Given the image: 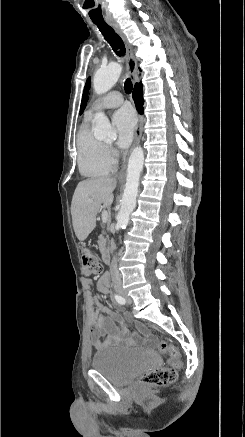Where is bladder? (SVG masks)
Wrapping results in <instances>:
<instances>
[{"mask_svg": "<svg viewBox=\"0 0 245 437\" xmlns=\"http://www.w3.org/2000/svg\"><path fill=\"white\" fill-rule=\"evenodd\" d=\"M158 357L145 349H121L110 347L96 352L92 358L93 370L101 373L112 383L125 385L137 375L155 367Z\"/></svg>", "mask_w": 245, "mask_h": 437, "instance_id": "bladder-1", "label": "bladder"}]
</instances>
